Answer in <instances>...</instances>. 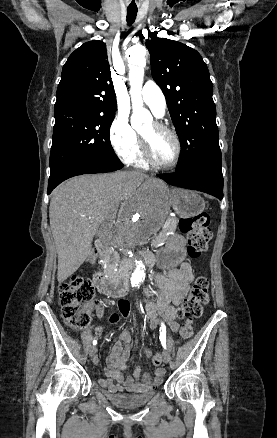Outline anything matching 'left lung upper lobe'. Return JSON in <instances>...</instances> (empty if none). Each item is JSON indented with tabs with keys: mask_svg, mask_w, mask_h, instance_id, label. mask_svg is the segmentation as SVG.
Wrapping results in <instances>:
<instances>
[{
	"mask_svg": "<svg viewBox=\"0 0 277 438\" xmlns=\"http://www.w3.org/2000/svg\"><path fill=\"white\" fill-rule=\"evenodd\" d=\"M148 33L152 77L162 89L182 145L178 172L222 162L213 84L200 54L178 41Z\"/></svg>",
	"mask_w": 277,
	"mask_h": 438,
	"instance_id": "5c2ea615",
	"label": "left lung upper lobe"
}]
</instances>
